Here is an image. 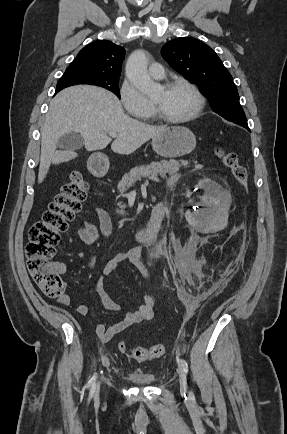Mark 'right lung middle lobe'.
Instances as JSON below:
<instances>
[{"instance_id":"right-lung-middle-lobe-1","label":"right lung middle lobe","mask_w":287,"mask_h":434,"mask_svg":"<svg viewBox=\"0 0 287 434\" xmlns=\"http://www.w3.org/2000/svg\"><path fill=\"white\" fill-rule=\"evenodd\" d=\"M119 78L95 77L78 71L66 70L64 75L59 79L57 88H65L76 84H91L103 87L120 98Z\"/></svg>"}]
</instances>
